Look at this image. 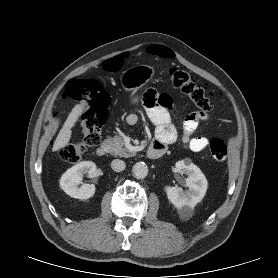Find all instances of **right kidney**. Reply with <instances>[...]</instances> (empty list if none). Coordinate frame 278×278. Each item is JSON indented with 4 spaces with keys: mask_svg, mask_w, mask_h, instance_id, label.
Here are the masks:
<instances>
[{
    "mask_svg": "<svg viewBox=\"0 0 278 278\" xmlns=\"http://www.w3.org/2000/svg\"><path fill=\"white\" fill-rule=\"evenodd\" d=\"M96 171V165L92 161H82L69 168L60 179V186L63 191L77 199H88L95 193L93 184H82L83 175L93 176Z\"/></svg>",
    "mask_w": 278,
    "mask_h": 278,
    "instance_id": "right-kidney-1",
    "label": "right kidney"
}]
</instances>
